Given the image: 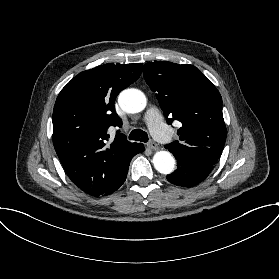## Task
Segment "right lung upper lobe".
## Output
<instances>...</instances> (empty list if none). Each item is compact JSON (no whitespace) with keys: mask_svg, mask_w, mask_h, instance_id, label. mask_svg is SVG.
Returning a JSON list of instances; mask_svg holds the SVG:
<instances>
[{"mask_svg":"<svg viewBox=\"0 0 279 279\" xmlns=\"http://www.w3.org/2000/svg\"><path fill=\"white\" fill-rule=\"evenodd\" d=\"M142 64H104L75 76L59 93L53 111V143L72 182L92 196L108 195L144 150L117 132L107 148L110 126H122L114 101L135 82Z\"/></svg>","mask_w":279,"mask_h":279,"instance_id":"obj_1","label":"right lung upper lobe"}]
</instances>
